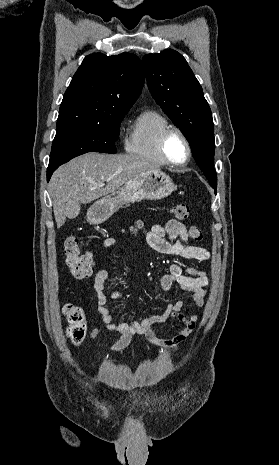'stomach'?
Here are the masks:
<instances>
[{
  "instance_id": "stomach-1",
  "label": "stomach",
  "mask_w": 279,
  "mask_h": 465,
  "mask_svg": "<svg viewBox=\"0 0 279 465\" xmlns=\"http://www.w3.org/2000/svg\"><path fill=\"white\" fill-rule=\"evenodd\" d=\"M175 189L172 179L163 172L141 173L129 180L113 197L107 196L96 201L87 212V220L92 224H100L124 204L144 199H162Z\"/></svg>"
}]
</instances>
